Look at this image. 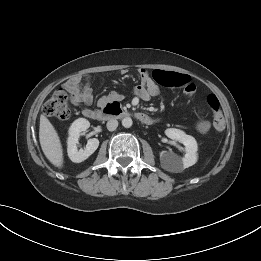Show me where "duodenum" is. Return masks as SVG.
<instances>
[{
	"mask_svg": "<svg viewBox=\"0 0 261 261\" xmlns=\"http://www.w3.org/2000/svg\"><path fill=\"white\" fill-rule=\"evenodd\" d=\"M130 113L123 109L119 102L113 101L107 103L102 109L100 110H91L87 113V117L93 119H105V118H112V117H128ZM136 117L142 121L143 123L149 124L151 123V119L145 114H136Z\"/></svg>",
	"mask_w": 261,
	"mask_h": 261,
	"instance_id": "410a0bca",
	"label": "duodenum"
}]
</instances>
